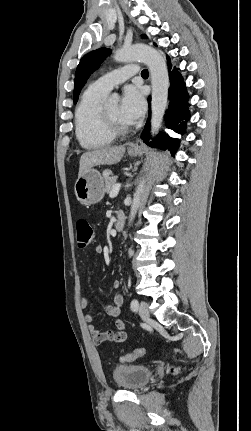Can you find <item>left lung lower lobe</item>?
Here are the masks:
<instances>
[{"instance_id":"1","label":"left lung lower lobe","mask_w":251,"mask_h":431,"mask_svg":"<svg viewBox=\"0 0 251 431\" xmlns=\"http://www.w3.org/2000/svg\"><path fill=\"white\" fill-rule=\"evenodd\" d=\"M156 45V44H154ZM168 60V69L171 70L170 59L167 56ZM170 78V88H169V106L166 111L165 120L168 128L175 130L178 133H182L185 131L186 122L183 120L189 119V109H188V100L189 95L186 91L185 82L183 81L180 73L177 71V68H174L173 71L169 73ZM150 101V99H149ZM149 129H150V116L147 120L145 129L141 134V138L144 139V142L149 146H156L161 149H168L171 151L172 155L175 153L178 147V141L176 139L164 136L161 134V138L158 136L154 140V142H149Z\"/></svg>"}]
</instances>
